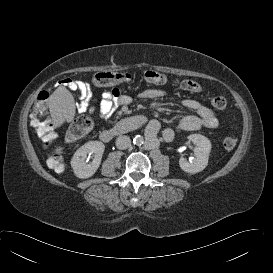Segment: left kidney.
<instances>
[{
	"label": "left kidney",
	"instance_id": "5707ae66",
	"mask_svg": "<svg viewBox=\"0 0 273 273\" xmlns=\"http://www.w3.org/2000/svg\"><path fill=\"white\" fill-rule=\"evenodd\" d=\"M187 138L195 144V157L189 161L181 157L179 165L183 171L195 174L206 168L211 151V142L201 134H191Z\"/></svg>",
	"mask_w": 273,
	"mask_h": 273
}]
</instances>
